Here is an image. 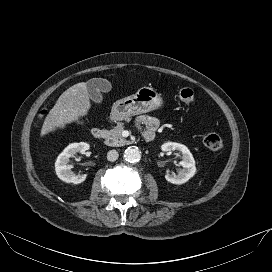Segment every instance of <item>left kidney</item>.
Returning a JSON list of instances; mask_svg holds the SVG:
<instances>
[{"label": "left kidney", "mask_w": 272, "mask_h": 272, "mask_svg": "<svg viewBox=\"0 0 272 272\" xmlns=\"http://www.w3.org/2000/svg\"><path fill=\"white\" fill-rule=\"evenodd\" d=\"M162 151H175L178 150L181 152V161L180 165L183 167L178 174H169L165 175V179L173 184H183L192 178L196 173L195 160L190 150L183 144L175 142H167L161 146Z\"/></svg>", "instance_id": "5707ae66"}]
</instances>
